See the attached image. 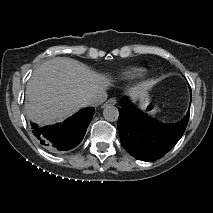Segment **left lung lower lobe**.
<instances>
[{
  "label": "left lung lower lobe",
  "mask_w": 213,
  "mask_h": 213,
  "mask_svg": "<svg viewBox=\"0 0 213 213\" xmlns=\"http://www.w3.org/2000/svg\"><path fill=\"white\" fill-rule=\"evenodd\" d=\"M118 130L122 145L137 159L153 161L166 154L182 137L190 108L184 119L175 124H163L136 109L124 98L120 102Z\"/></svg>",
  "instance_id": "0a47b994"
}]
</instances>
